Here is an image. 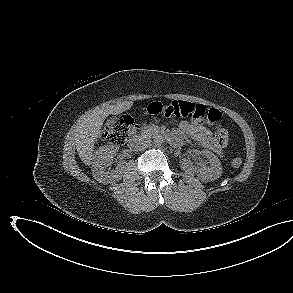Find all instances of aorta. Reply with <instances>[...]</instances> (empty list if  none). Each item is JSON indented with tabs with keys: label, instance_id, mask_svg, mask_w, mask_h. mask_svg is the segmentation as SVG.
Wrapping results in <instances>:
<instances>
[{
	"label": "aorta",
	"instance_id": "obj_1",
	"mask_svg": "<svg viewBox=\"0 0 293 293\" xmlns=\"http://www.w3.org/2000/svg\"><path fill=\"white\" fill-rule=\"evenodd\" d=\"M164 143V139L161 136H158L154 139V144L156 146H161Z\"/></svg>",
	"mask_w": 293,
	"mask_h": 293
}]
</instances>
